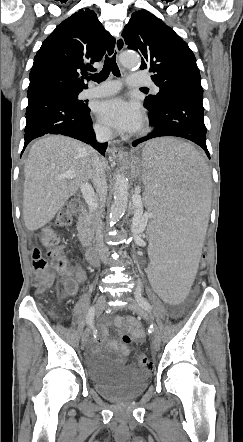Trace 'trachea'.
<instances>
[{"label": "trachea", "mask_w": 243, "mask_h": 442, "mask_svg": "<svg viewBox=\"0 0 243 442\" xmlns=\"http://www.w3.org/2000/svg\"><path fill=\"white\" fill-rule=\"evenodd\" d=\"M110 72H112L113 75L117 77L120 76V71L116 63V53L112 57L106 55L103 69L99 73L91 75L90 77H88V79L100 83L108 78ZM141 89L147 90V88H141Z\"/></svg>", "instance_id": "obj_1"}]
</instances>
